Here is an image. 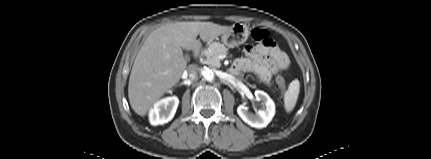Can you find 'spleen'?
Returning <instances> with one entry per match:
<instances>
[{"instance_id": "3e777b00", "label": "spleen", "mask_w": 431, "mask_h": 159, "mask_svg": "<svg viewBox=\"0 0 431 159\" xmlns=\"http://www.w3.org/2000/svg\"><path fill=\"white\" fill-rule=\"evenodd\" d=\"M299 90H300L299 81L297 79L293 80L290 83L288 90L286 91L284 96V108L286 112L289 113L294 109L298 99Z\"/></svg>"}]
</instances>
